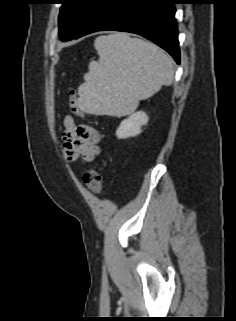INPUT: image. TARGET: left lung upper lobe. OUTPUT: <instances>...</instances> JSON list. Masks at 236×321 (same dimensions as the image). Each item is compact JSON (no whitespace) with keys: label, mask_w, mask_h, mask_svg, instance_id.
Instances as JSON below:
<instances>
[{"label":"left lung upper lobe","mask_w":236,"mask_h":321,"mask_svg":"<svg viewBox=\"0 0 236 321\" xmlns=\"http://www.w3.org/2000/svg\"><path fill=\"white\" fill-rule=\"evenodd\" d=\"M101 0H62L59 14V37L74 38Z\"/></svg>","instance_id":"1"}]
</instances>
